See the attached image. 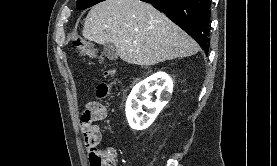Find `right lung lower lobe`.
<instances>
[{
  "mask_svg": "<svg viewBox=\"0 0 277 166\" xmlns=\"http://www.w3.org/2000/svg\"><path fill=\"white\" fill-rule=\"evenodd\" d=\"M152 4L209 52L210 0H141Z\"/></svg>",
  "mask_w": 277,
  "mask_h": 166,
  "instance_id": "1",
  "label": "right lung lower lobe"
}]
</instances>
